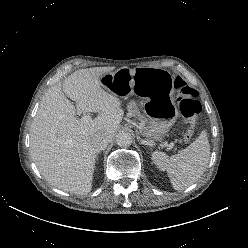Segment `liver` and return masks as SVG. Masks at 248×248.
I'll return each instance as SVG.
<instances>
[{
  "instance_id": "6515ba94",
  "label": "liver",
  "mask_w": 248,
  "mask_h": 248,
  "mask_svg": "<svg viewBox=\"0 0 248 248\" xmlns=\"http://www.w3.org/2000/svg\"><path fill=\"white\" fill-rule=\"evenodd\" d=\"M113 69H80L62 85L48 89L31 124V158L42 177L65 192L86 195L91 191L98 152L92 138L106 133L112 139L122 121V102L100 80ZM76 108L98 116L84 122L75 118Z\"/></svg>"
}]
</instances>
